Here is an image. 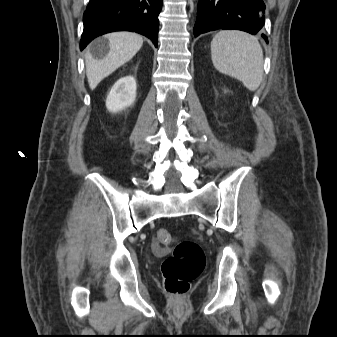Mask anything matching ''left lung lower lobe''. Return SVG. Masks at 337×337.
<instances>
[{
  "mask_svg": "<svg viewBox=\"0 0 337 337\" xmlns=\"http://www.w3.org/2000/svg\"><path fill=\"white\" fill-rule=\"evenodd\" d=\"M264 10L262 0H200L194 35L217 29H237L256 34L265 23ZM262 37L268 42L264 34Z\"/></svg>",
  "mask_w": 337,
  "mask_h": 337,
  "instance_id": "0a47b994",
  "label": "left lung lower lobe"
}]
</instances>
